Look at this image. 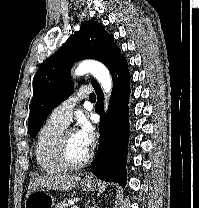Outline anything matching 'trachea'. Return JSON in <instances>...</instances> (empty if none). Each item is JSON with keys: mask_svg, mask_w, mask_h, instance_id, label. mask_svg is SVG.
Wrapping results in <instances>:
<instances>
[{"mask_svg": "<svg viewBox=\"0 0 199 208\" xmlns=\"http://www.w3.org/2000/svg\"><path fill=\"white\" fill-rule=\"evenodd\" d=\"M89 99L91 100V101H96V95L93 93V94H91V96L89 97Z\"/></svg>", "mask_w": 199, "mask_h": 208, "instance_id": "trachea-1", "label": "trachea"}]
</instances>
